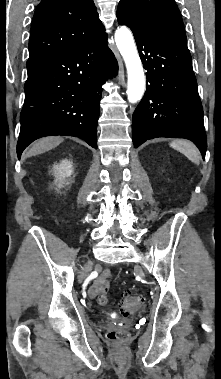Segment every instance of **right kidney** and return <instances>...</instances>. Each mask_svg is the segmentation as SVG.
<instances>
[{
	"label": "right kidney",
	"mask_w": 221,
	"mask_h": 379,
	"mask_svg": "<svg viewBox=\"0 0 221 379\" xmlns=\"http://www.w3.org/2000/svg\"><path fill=\"white\" fill-rule=\"evenodd\" d=\"M73 165L71 161L62 160L59 164L53 165V175L55 176V184L58 188L63 187L65 184H69L67 178L73 174Z\"/></svg>",
	"instance_id": "ca27d5eb"
}]
</instances>
